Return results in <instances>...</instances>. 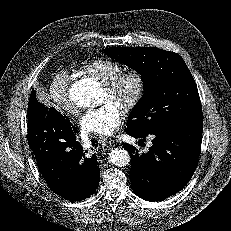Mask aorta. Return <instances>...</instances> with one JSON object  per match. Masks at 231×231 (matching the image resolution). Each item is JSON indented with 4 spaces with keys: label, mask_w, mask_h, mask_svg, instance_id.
<instances>
[{
    "label": "aorta",
    "mask_w": 231,
    "mask_h": 231,
    "mask_svg": "<svg viewBox=\"0 0 231 231\" xmlns=\"http://www.w3.org/2000/svg\"><path fill=\"white\" fill-rule=\"evenodd\" d=\"M101 88L91 80L82 79L71 85L69 98L73 103L82 108L95 107L99 104ZM109 159L117 167H125L130 163V155L127 150L122 148L112 149Z\"/></svg>",
    "instance_id": "obj_1"
}]
</instances>
